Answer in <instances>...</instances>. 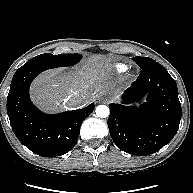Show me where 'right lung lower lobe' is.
Here are the masks:
<instances>
[{
	"mask_svg": "<svg viewBox=\"0 0 193 193\" xmlns=\"http://www.w3.org/2000/svg\"><path fill=\"white\" fill-rule=\"evenodd\" d=\"M48 68L20 67L13 76L7 97V113L12 130L19 141L43 157L69 152L77 142L80 126L94 110V104L75 111L49 115L39 111L30 101L29 85Z\"/></svg>",
	"mask_w": 193,
	"mask_h": 193,
	"instance_id": "98d812e1",
	"label": "right lung lower lobe"
}]
</instances>
